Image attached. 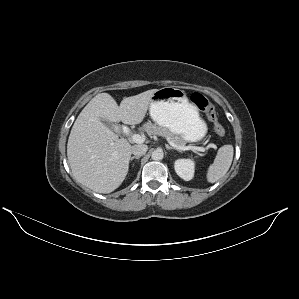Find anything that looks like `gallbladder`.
<instances>
[{
    "label": "gallbladder",
    "mask_w": 299,
    "mask_h": 299,
    "mask_svg": "<svg viewBox=\"0 0 299 299\" xmlns=\"http://www.w3.org/2000/svg\"><path fill=\"white\" fill-rule=\"evenodd\" d=\"M101 122H102L105 126H107L108 128H110V129H113V128H114V125H113L110 121H108V120L101 119Z\"/></svg>",
    "instance_id": "gallbladder-1"
}]
</instances>
